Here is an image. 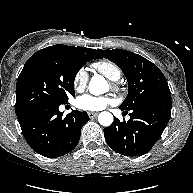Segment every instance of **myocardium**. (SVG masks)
<instances>
[{
    "instance_id": "obj_1",
    "label": "myocardium",
    "mask_w": 193,
    "mask_h": 193,
    "mask_svg": "<svg viewBox=\"0 0 193 193\" xmlns=\"http://www.w3.org/2000/svg\"><path fill=\"white\" fill-rule=\"evenodd\" d=\"M111 87L116 92H120L121 91V87H120V85L117 82H112L111 83Z\"/></svg>"
}]
</instances>
